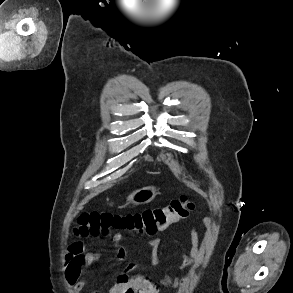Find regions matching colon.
<instances>
[{"label": "colon", "instance_id": "obj_1", "mask_svg": "<svg viewBox=\"0 0 293 293\" xmlns=\"http://www.w3.org/2000/svg\"><path fill=\"white\" fill-rule=\"evenodd\" d=\"M194 206L187 195L172 200L167 206L127 214L81 212L75 219V234L82 237L107 238L115 231L151 232L185 217Z\"/></svg>", "mask_w": 293, "mask_h": 293}]
</instances>
